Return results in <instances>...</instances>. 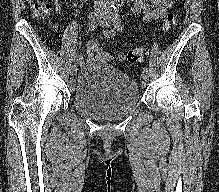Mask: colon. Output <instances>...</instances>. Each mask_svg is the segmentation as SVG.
<instances>
[{
	"label": "colon",
	"instance_id": "colon-1",
	"mask_svg": "<svg viewBox=\"0 0 219 192\" xmlns=\"http://www.w3.org/2000/svg\"><path fill=\"white\" fill-rule=\"evenodd\" d=\"M32 10L37 18L45 19L51 14V6L45 0H31ZM175 25V15L173 13H168L163 21V28L165 30L171 29ZM145 49L143 47H134L126 51L123 55V59L129 63H135L142 59L144 56ZM102 60L109 61L111 55L107 52H103L101 56Z\"/></svg>",
	"mask_w": 219,
	"mask_h": 192
}]
</instances>
